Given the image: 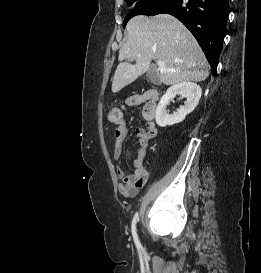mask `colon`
<instances>
[{
	"label": "colon",
	"instance_id": "5ec220e1",
	"mask_svg": "<svg viewBox=\"0 0 261 273\" xmlns=\"http://www.w3.org/2000/svg\"><path fill=\"white\" fill-rule=\"evenodd\" d=\"M124 119L123 112L117 107H113L108 112V120L114 124H119Z\"/></svg>",
	"mask_w": 261,
	"mask_h": 273
}]
</instances>
